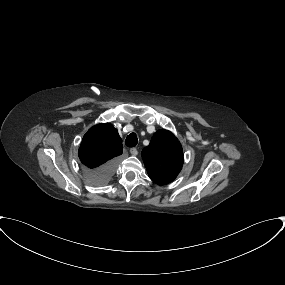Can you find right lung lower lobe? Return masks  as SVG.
<instances>
[{"instance_id":"right-lung-lower-lobe-1","label":"right lung lower lobe","mask_w":285,"mask_h":285,"mask_svg":"<svg viewBox=\"0 0 285 285\" xmlns=\"http://www.w3.org/2000/svg\"><path fill=\"white\" fill-rule=\"evenodd\" d=\"M116 159H113L104 165L87 171V179L93 185H102L106 183L116 168Z\"/></svg>"}]
</instances>
